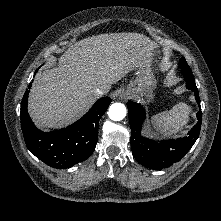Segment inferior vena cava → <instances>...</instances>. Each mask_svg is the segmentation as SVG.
<instances>
[{
  "instance_id": "602c4592",
  "label": "inferior vena cava",
  "mask_w": 221,
  "mask_h": 221,
  "mask_svg": "<svg viewBox=\"0 0 221 221\" xmlns=\"http://www.w3.org/2000/svg\"><path fill=\"white\" fill-rule=\"evenodd\" d=\"M95 93L96 95H103L104 91L102 89L97 88Z\"/></svg>"
}]
</instances>
